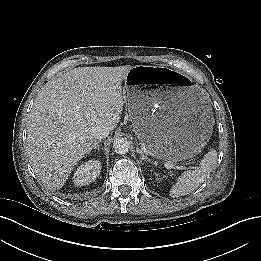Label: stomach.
I'll return each instance as SVG.
<instances>
[{"label":"stomach","instance_id":"obj_1","mask_svg":"<svg viewBox=\"0 0 261 261\" xmlns=\"http://www.w3.org/2000/svg\"><path fill=\"white\" fill-rule=\"evenodd\" d=\"M152 75L166 81L147 89ZM128 107L141 144L153 157L177 162L199 154L210 139L209 105L192 82L163 67L138 65L125 78Z\"/></svg>","mask_w":261,"mask_h":261}]
</instances>
